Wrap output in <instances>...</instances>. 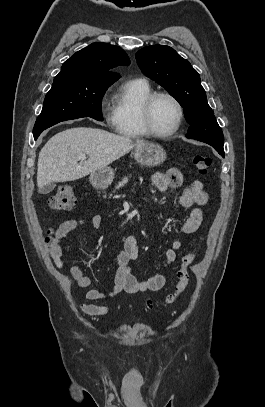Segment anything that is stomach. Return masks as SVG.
Segmentation results:
<instances>
[{
  "label": "stomach",
  "instance_id": "1",
  "mask_svg": "<svg viewBox=\"0 0 265 407\" xmlns=\"http://www.w3.org/2000/svg\"><path fill=\"white\" fill-rule=\"evenodd\" d=\"M164 149L154 143H145L135 147L134 158L142 166L154 167L166 160ZM114 179V171L110 167L103 168L90 175L92 186L98 189L107 188Z\"/></svg>",
  "mask_w": 265,
  "mask_h": 407
}]
</instances>
